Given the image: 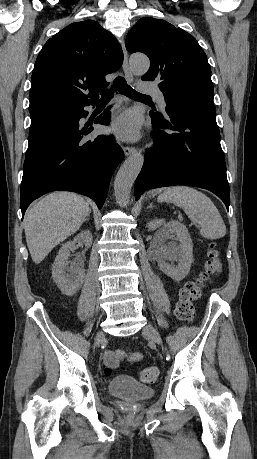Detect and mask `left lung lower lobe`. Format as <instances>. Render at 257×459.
<instances>
[{"label":"left lung lower lobe","instance_id":"1","mask_svg":"<svg viewBox=\"0 0 257 459\" xmlns=\"http://www.w3.org/2000/svg\"><path fill=\"white\" fill-rule=\"evenodd\" d=\"M165 111L164 116L150 112L154 148L145 152L135 199L151 188L189 185L210 190L228 209L229 185L212 100H188Z\"/></svg>","mask_w":257,"mask_h":459}]
</instances>
